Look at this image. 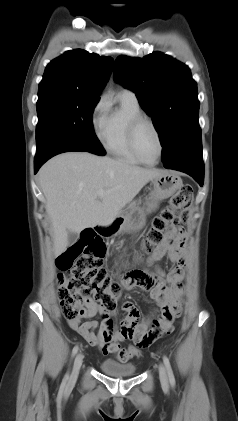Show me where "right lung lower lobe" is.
<instances>
[{
    "label": "right lung lower lobe",
    "mask_w": 238,
    "mask_h": 421,
    "mask_svg": "<svg viewBox=\"0 0 238 421\" xmlns=\"http://www.w3.org/2000/svg\"><path fill=\"white\" fill-rule=\"evenodd\" d=\"M69 151L88 152L87 149L61 134L52 133L48 135L38 146H36L34 161L35 173H37L41 165L51 157Z\"/></svg>",
    "instance_id": "98d812e1"
}]
</instances>
